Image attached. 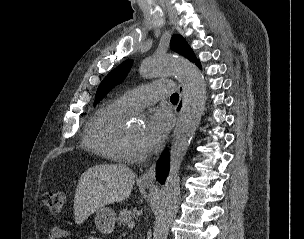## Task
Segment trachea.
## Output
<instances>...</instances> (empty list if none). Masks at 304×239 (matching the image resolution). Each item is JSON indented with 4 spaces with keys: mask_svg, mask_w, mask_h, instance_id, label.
<instances>
[{
    "mask_svg": "<svg viewBox=\"0 0 304 239\" xmlns=\"http://www.w3.org/2000/svg\"><path fill=\"white\" fill-rule=\"evenodd\" d=\"M178 99H179V95L177 93H174L170 98V100L174 102H178Z\"/></svg>",
    "mask_w": 304,
    "mask_h": 239,
    "instance_id": "1",
    "label": "trachea"
}]
</instances>
